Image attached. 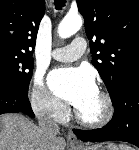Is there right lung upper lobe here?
Here are the masks:
<instances>
[{
	"mask_svg": "<svg viewBox=\"0 0 139 150\" xmlns=\"http://www.w3.org/2000/svg\"><path fill=\"white\" fill-rule=\"evenodd\" d=\"M43 15L42 0H0V49L32 55Z\"/></svg>",
	"mask_w": 139,
	"mask_h": 150,
	"instance_id": "cb5924a9",
	"label": "right lung upper lobe"
}]
</instances>
